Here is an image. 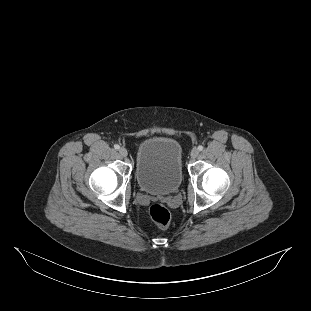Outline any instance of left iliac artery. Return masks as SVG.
Masks as SVG:
<instances>
[{
    "label": "left iliac artery",
    "mask_w": 311,
    "mask_h": 311,
    "mask_svg": "<svg viewBox=\"0 0 311 311\" xmlns=\"http://www.w3.org/2000/svg\"><path fill=\"white\" fill-rule=\"evenodd\" d=\"M198 150H199V151H202V150H203V146H202V145H199V146H198Z\"/></svg>",
    "instance_id": "left-iliac-artery-1"
}]
</instances>
